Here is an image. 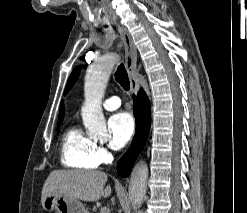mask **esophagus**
I'll list each match as a JSON object with an SVG mask.
<instances>
[{
	"mask_svg": "<svg viewBox=\"0 0 247 213\" xmlns=\"http://www.w3.org/2000/svg\"><path fill=\"white\" fill-rule=\"evenodd\" d=\"M118 31L121 35L124 51H125V66L130 79L131 90L137 94L139 91V83L136 78V47L128 30L117 24Z\"/></svg>",
	"mask_w": 247,
	"mask_h": 213,
	"instance_id": "34e87169",
	"label": "esophagus"
}]
</instances>
